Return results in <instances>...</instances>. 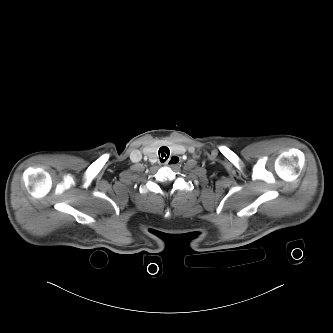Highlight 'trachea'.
I'll return each instance as SVG.
<instances>
[{
    "label": "trachea",
    "mask_w": 333,
    "mask_h": 333,
    "mask_svg": "<svg viewBox=\"0 0 333 333\" xmlns=\"http://www.w3.org/2000/svg\"><path fill=\"white\" fill-rule=\"evenodd\" d=\"M158 154H159L160 161L165 162L170 155V150L168 147L162 146L159 148Z\"/></svg>",
    "instance_id": "trachea-1"
}]
</instances>
